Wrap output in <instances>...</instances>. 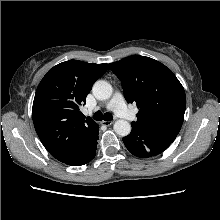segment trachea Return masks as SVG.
<instances>
[{"label": "trachea", "instance_id": "obj_1", "mask_svg": "<svg viewBox=\"0 0 220 220\" xmlns=\"http://www.w3.org/2000/svg\"><path fill=\"white\" fill-rule=\"evenodd\" d=\"M93 119L97 120V121H101V120H105V121H110L113 119V116L109 113H105L102 114V112L97 111L94 115H93Z\"/></svg>", "mask_w": 220, "mask_h": 220}]
</instances>
